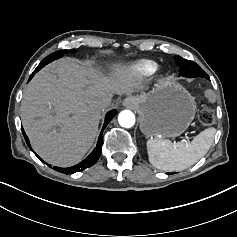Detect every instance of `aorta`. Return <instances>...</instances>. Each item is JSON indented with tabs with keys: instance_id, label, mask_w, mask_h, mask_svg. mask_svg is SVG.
<instances>
[{
	"instance_id": "aorta-1",
	"label": "aorta",
	"mask_w": 237,
	"mask_h": 237,
	"mask_svg": "<svg viewBox=\"0 0 237 237\" xmlns=\"http://www.w3.org/2000/svg\"><path fill=\"white\" fill-rule=\"evenodd\" d=\"M120 126L130 128L135 124V115L130 110L121 111L118 116Z\"/></svg>"
}]
</instances>
